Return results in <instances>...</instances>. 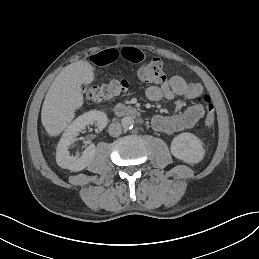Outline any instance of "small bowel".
Here are the masks:
<instances>
[{
  "label": "small bowel",
  "instance_id": "small-bowel-1",
  "mask_svg": "<svg viewBox=\"0 0 259 259\" xmlns=\"http://www.w3.org/2000/svg\"><path fill=\"white\" fill-rule=\"evenodd\" d=\"M119 58L131 62H140L145 53L137 48L124 47L121 50L106 49L90 56L89 62L93 67L106 66ZM147 97L152 101L162 99L172 100L182 97L187 100L199 99L203 95V88L199 83L187 82L178 75H168L161 85L150 86L146 90ZM206 113L204 104L197 103L185 111L173 115H155L151 124L154 130L165 134H173L193 127Z\"/></svg>",
  "mask_w": 259,
  "mask_h": 259
}]
</instances>
